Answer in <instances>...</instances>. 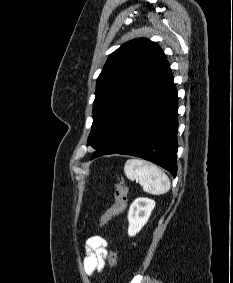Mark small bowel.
Returning <instances> with one entry per match:
<instances>
[{
	"mask_svg": "<svg viewBox=\"0 0 233 283\" xmlns=\"http://www.w3.org/2000/svg\"><path fill=\"white\" fill-rule=\"evenodd\" d=\"M107 241L101 236H92L86 241V255L83 259V269L88 276L103 271L107 259Z\"/></svg>",
	"mask_w": 233,
	"mask_h": 283,
	"instance_id": "1",
	"label": "small bowel"
}]
</instances>
